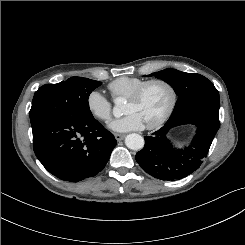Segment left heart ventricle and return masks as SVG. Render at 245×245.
<instances>
[{"instance_id":"left-heart-ventricle-1","label":"left heart ventricle","mask_w":245,"mask_h":245,"mask_svg":"<svg viewBox=\"0 0 245 245\" xmlns=\"http://www.w3.org/2000/svg\"><path fill=\"white\" fill-rule=\"evenodd\" d=\"M170 103V93L166 87L154 84L149 86L142 98L137 102L127 100L124 113L137 114L145 126L158 120L167 110Z\"/></svg>"}]
</instances>
